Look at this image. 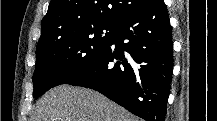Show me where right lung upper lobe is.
Returning a JSON list of instances; mask_svg holds the SVG:
<instances>
[{
  "instance_id": "right-lung-upper-lobe-1",
  "label": "right lung upper lobe",
  "mask_w": 217,
  "mask_h": 121,
  "mask_svg": "<svg viewBox=\"0 0 217 121\" xmlns=\"http://www.w3.org/2000/svg\"><path fill=\"white\" fill-rule=\"evenodd\" d=\"M148 0H51L37 48L93 24H119Z\"/></svg>"
}]
</instances>
